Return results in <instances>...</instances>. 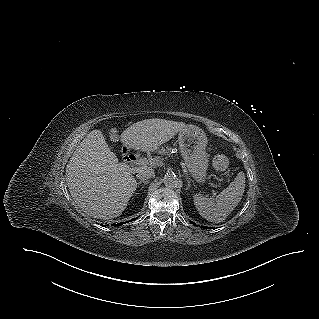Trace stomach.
I'll return each mask as SVG.
<instances>
[{
	"label": "stomach",
	"mask_w": 319,
	"mask_h": 319,
	"mask_svg": "<svg viewBox=\"0 0 319 319\" xmlns=\"http://www.w3.org/2000/svg\"><path fill=\"white\" fill-rule=\"evenodd\" d=\"M178 141L182 158L190 175L198 183H204L209 164L206 153V134L199 127L189 125L179 132Z\"/></svg>",
	"instance_id": "obj_1"
}]
</instances>
